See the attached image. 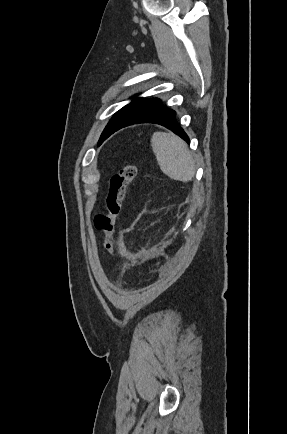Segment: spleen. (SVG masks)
Returning <instances> with one entry per match:
<instances>
[{"instance_id":"spleen-1","label":"spleen","mask_w":287,"mask_h":434,"mask_svg":"<svg viewBox=\"0 0 287 434\" xmlns=\"http://www.w3.org/2000/svg\"><path fill=\"white\" fill-rule=\"evenodd\" d=\"M151 146L161 171L169 178L190 181L195 175V161L187 144L173 133L155 132Z\"/></svg>"}]
</instances>
